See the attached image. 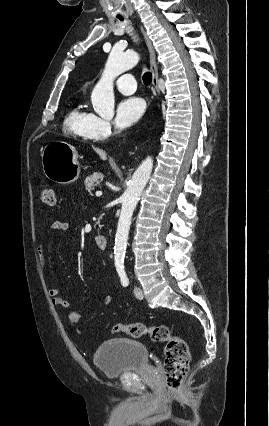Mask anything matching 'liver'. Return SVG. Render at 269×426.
Instances as JSON below:
<instances>
[{"instance_id": "1", "label": "liver", "mask_w": 269, "mask_h": 426, "mask_svg": "<svg viewBox=\"0 0 269 426\" xmlns=\"http://www.w3.org/2000/svg\"><path fill=\"white\" fill-rule=\"evenodd\" d=\"M94 151L100 156V158L102 160H106L107 159V154L102 149H100V148H94Z\"/></svg>"}]
</instances>
